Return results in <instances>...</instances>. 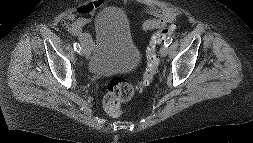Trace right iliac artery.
Masks as SVG:
<instances>
[{
  "instance_id": "1",
  "label": "right iliac artery",
  "mask_w": 253,
  "mask_h": 143,
  "mask_svg": "<svg viewBox=\"0 0 253 143\" xmlns=\"http://www.w3.org/2000/svg\"><path fill=\"white\" fill-rule=\"evenodd\" d=\"M73 46H74V50L77 51V52L79 53V52H80V49H81L80 44L77 43V42H74Z\"/></svg>"
}]
</instances>
